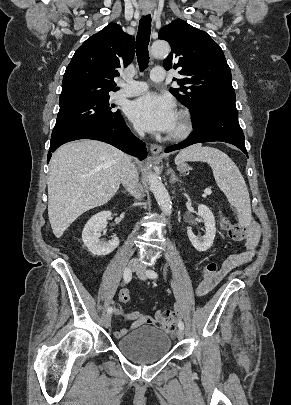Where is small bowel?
I'll list each match as a JSON object with an SVG mask.
<instances>
[{
    "mask_svg": "<svg viewBox=\"0 0 291 405\" xmlns=\"http://www.w3.org/2000/svg\"><path fill=\"white\" fill-rule=\"evenodd\" d=\"M249 235L248 240L245 245V251L237 254H231L223 262L218 275L213 280H203L197 287L196 294L198 296H204L209 293L216 283L227 275L230 271L236 267L249 262L253 255L254 250L258 244L260 231L257 224H251L248 228ZM114 314L117 316L124 317L126 320L132 321L130 327L121 328L114 331V336L116 338H121L126 335L129 331L136 329L137 327L147 324L154 325L166 332H173L176 324L181 316V307L178 303L174 304L172 309L158 310L154 317L142 314L140 312H125L121 305H116L114 307Z\"/></svg>",
    "mask_w": 291,
    "mask_h": 405,
    "instance_id": "obj_1",
    "label": "small bowel"
}]
</instances>
